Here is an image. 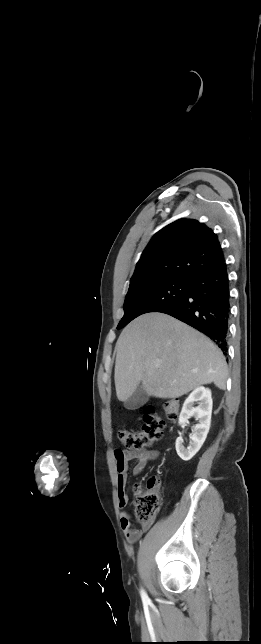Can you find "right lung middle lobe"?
<instances>
[{
  "mask_svg": "<svg viewBox=\"0 0 261 644\" xmlns=\"http://www.w3.org/2000/svg\"><path fill=\"white\" fill-rule=\"evenodd\" d=\"M189 279L168 278L129 288L124 303V316L117 329L125 327L136 317L159 312L177 304L188 292Z\"/></svg>",
  "mask_w": 261,
  "mask_h": 644,
  "instance_id": "right-lung-middle-lobe-1",
  "label": "right lung middle lobe"
}]
</instances>
